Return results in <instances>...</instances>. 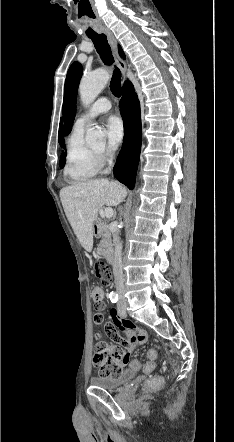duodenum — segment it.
Masks as SVG:
<instances>
[{
    "label": "duodenum",
    "mask_w": 234,
    "mask_h": 442,
    "mask_svg": "<svg viewBox=\"0 0 234 442\" xmlns=\"http://www.w3.org/2000/svg\"><path fill=\"white\" fill-rule=\"evenodd\" d=\"M104 231H105V225L103 223L98 222L94 225L93 232L95 236H101L104 233ZM101 255L103 256V258L107 263L109 264L113 263L114 260L113 253L106 245L102 246Z\"/></svg>",
    "instance_id": "1"
}]
</instances>
